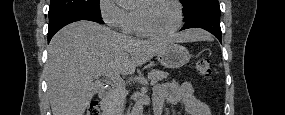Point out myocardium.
Segmentation results:
<instances>
[{
    "mask_svg": "<svg viewBox=\"0 0 285 115\" xmlns=\"http://www.w3.org/2000/svg\"><path fill=\"white\" fill-rule=\"evenodd\" d=\"M155 1H161V0H144L143 3H151V2H155ZM165 1L172 3L176 8V11H177V25H176V27L173 28L172 30H169L166 32L154 31V30L150 29L145 24L142 15L139 12H137V18H138L139 26H140L141 30L146 35L153 36V37H166V36H171L180 30V28L183 24V19H184L183 8H182L180 1H178V0H165Z\"/></svg>",
    "mask_w": 285,
    "mask_h": 115,
    "instance_id": "1",
    "label": "myocardium"
}]
</instances>
